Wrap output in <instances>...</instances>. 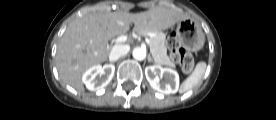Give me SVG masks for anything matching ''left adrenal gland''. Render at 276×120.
I'll use <instances>...</instances> for the list:
<instances>
[{"mask_svg":"<svg viewBox=\"0 0 276 120\" xmlns=\"http://www.w3.org/2000/svg\"><path fill=\"white\" fill-rule=\"evenodd\" d=\"M148 62H152V63H154V60H153V58L151 57V55H150V54L148 55Z\"/></svg>","mask_w":276,"mask_h":120,"instance_id":"1","label":"left adrenal gland"}]
</instances>
